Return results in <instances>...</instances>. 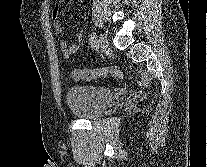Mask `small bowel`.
I'll return each mask as SVG.
<instances>
[{
    "instance_id": "1",
    "label": "small bowel",
    "mask_w": 207,
    "mask_h": 167,
    "mask_svg": "<svg viewBox=\"0 0 207 167\" xmlns=\"http://www.w3.org/2000/svg\"><path fill=\"white\" fill-rule=\"evenodd\" d=\"M58 15H59V8L55 7L53 11V19H54L53 27L57 33H61L63 28L61 23L58 21ZM83 37H84L83 31L82 30L78 31L76 34L77 41L79 42L82 41ZM77 51H78V46L76 44H67L66 42H61V52H62V56L65 59L71 58L73 55L76 54Z\"/></svg>"
}]
</instances>
